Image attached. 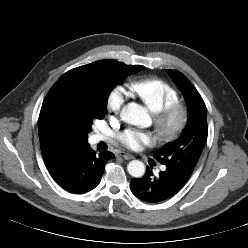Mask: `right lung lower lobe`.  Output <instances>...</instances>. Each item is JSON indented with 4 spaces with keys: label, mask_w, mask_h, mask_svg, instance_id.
I'll return each mask as SVG.
<instances>
[{
    "label": "right lung lower lobe",
    "mask_w": 248,
    "mask_h": 248,
    "mask_svg": "<svg viewBox=\"0 0 248 248\" xmlns=\"http://www.w3.org/2000/svg\"><path fill=\"white\" fill-rule=\"evenodd\" d=\"M114 157L109 151L96 154L85 143L62 153L45 165L52 178L64 190L82 194L99 184L105 163Z\"/></svg>",
    "instance_id": "obj_1"
}]
</instances>
